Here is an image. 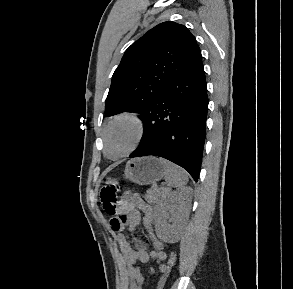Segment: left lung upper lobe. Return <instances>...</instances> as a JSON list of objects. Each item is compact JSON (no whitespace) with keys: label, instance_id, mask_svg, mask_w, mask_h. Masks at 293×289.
<instances>
[{"label":"left lung upper lobe","instance_id":"5c2ea615","mask_svg":"<svg viewBox=\"0 0 293 289\" xmlns=\"http://www.w3.org/2000/svg\"><path fill=\"white\" fill-rule=\"evenodd\" d=\"M200 55L194 36L184 25L158 24L125 51L112 76L106 114L128 111L143 116Z\"/></svg>","mask_w":293,"mask_h":289}]
</instances>
